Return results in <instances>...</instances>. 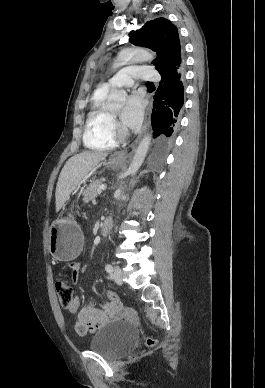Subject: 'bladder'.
Wrapping results in <instances>:
<instances>
[{"instance_id": "1", "label": "bladder", "mask_w": 265, "mask_h": 388, "mask_svg": "<svg viewBox=\"0 0 265 388\" xmlns=\"http://www.w3.org/2000/svg\"><path fill=\"white\" fill-rule=\"evenodd\" d=\"M135 335L136 328L130 322L118 320L100 328L89 347L93 352L115 357L130 349Z\"/></svg>"}]
</instances>
